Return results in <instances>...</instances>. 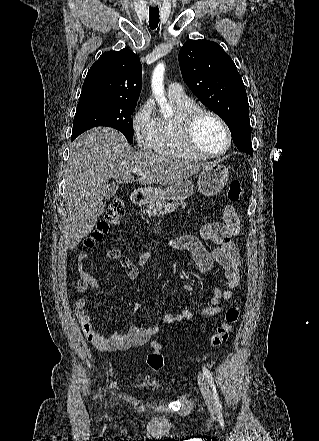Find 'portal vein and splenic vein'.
I'll list each match as a JSON object with an SVG mask.
<instances>
[{
    "label": "portal vein and splenic vein",
    "mask_w": 319,
    "mask_h": 441,
    "mask_svg": "<svg viewBox=\"0 0 319 441\" xmlns=\"http://www.w3.org/2000/svg\"><path fill=\"white\" fill-rule=\"evenodd\" d=\"M133 172L136 173V174H140L142 172V170L140 168H135L133 170Z\"/></svg>",
    "instance_id": "portal-vein-and-splenic-vein-1"
}]
</instances>
